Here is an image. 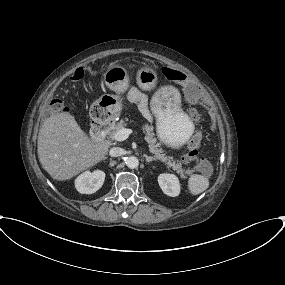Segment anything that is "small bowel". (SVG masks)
<instances>
[{"label": "small bowel", "mask_w": 285, "mask_h": 285, "mask_svg": "<svg viewBox=\"0 0 285 285\" xmlns=\"http://www.w3.org/2000/svg\"><path fill=\"white\" fill-rule=\"evenodd\" d=\"M128 99L133 102V103H136L138 104L139 106L142 105L143 101H144V96L139 92V91H136V90H131L129 91L128 93ZM206 173H209V169L207 170Z\"/></svg>", "instance_id": "c3829d8e"}]
</instances>
